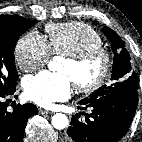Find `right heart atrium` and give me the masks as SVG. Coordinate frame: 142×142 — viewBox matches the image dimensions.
<instances>
[{
  "instance_id": "1",
  "label": "right heart atrium",
  "mask_w": 142,
  "mask_h": 142,
  "mask_svg": "<svg viewBox=\"0 0 142 142\" xmlns=\"http://www.w3.org/2000/svg\"><path fill=\"white\" fill-rule=\"evenodd\" d=\"M50 55L46 39L34 31L24 34L17 41L14 49L15 61L24 72L34 71L45 65Z\"/></svg>"
}]
</instances>
